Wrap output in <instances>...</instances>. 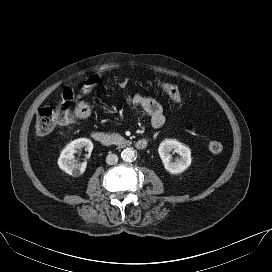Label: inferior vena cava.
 I'll return each instance as SVG.
<instances>
[{
  "mask_svg": "<svg viewBox=\"0 0 272 272\" xmlns=\"http://www.w3.org/2000/svg\"><path fill=\"white\" fill-rule=\"evenodd\" d=\"M118 162V156L113 153H109L106 157V163L109 165H114Z\"/></svg>",
  "mask_w": 272,
  "mask_h": 272,
  "instance_id": "602c4592",
  "label": "inferior vena cava"
}]
</instances>
